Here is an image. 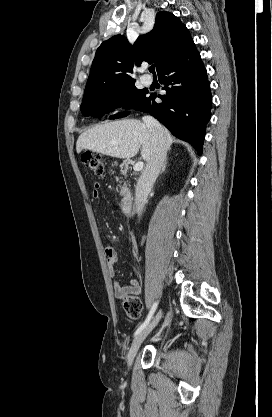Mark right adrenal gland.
<instances>
[{
  "mask_svg": "<svg viewBox=\"0 0 272 417\" xmlns=\"http://www.w3.org/2000/svg\"><path fill=\"white\" fill-rule=\"evenodd\" d=\"M167 161H168V159L166 158V159H165V161H164V164H163V166H162V169H161V171H160V174H162V173H164V172H165L166 165H167Z\"/></svg>",
  "mask_w": 272,
  "mask_h": 417,
  "instance_id": "right-adrenal-gland-1",
  "label": "right adrenal gland"
}]
</instances>
